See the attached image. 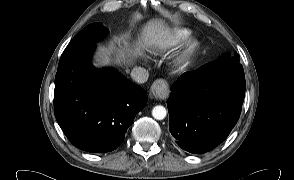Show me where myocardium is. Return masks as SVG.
<instances>
[{"mask_svg": "<svg viewBox=\"0 0 294 180\" xmlns=\"http://www.w3.org/2000/svg\"><path fill=\"white\" fill-rule=\"evenodd\" d=\"M197 48V40L194 38H188L174 55L173 65L177 68L185 66L190 58L195 54Z\"/></svg>", "mask_w": 294, "mask_h": 180, "instance_id": "1", "label": "myocardium"}]
</instances>
